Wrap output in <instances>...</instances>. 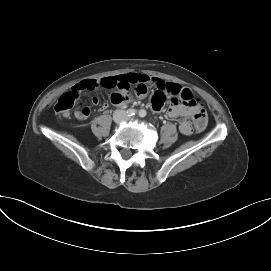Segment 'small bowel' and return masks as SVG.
Listing matches in <instances>:
<instances>
[{
  "label": "small bowel",
  "mask_w": 271,
  "mask_h": 271,
  "mask_svg": "<svg viewBox=\"0 0 271 271\" xmlns=\"http://www.w3.org/2000/svg\"><path fill=\"white\" fill-rule=\"evenodd\" d=\"M97 86H103L112 90L110 99L116 105H126L131 101V96L128 90L131 86H135L133 95L135 97L144 98L150 87L156 88V93L153 95L150 107L159 112L163 109V105L167 102V95L179 96L171 100L170 106L167 110V115L171 118H183L179 125V130L184 135H190L193 132V125L190 120L194 116L199 107L196 104L182 100L184 94L192 97V93L187 88H182L177 83L166 82L162 79L151 77L142 73H124L112 77H106L99 80H85L76 84L73 89L83 91L85 89H94ZM93 105L99 103L98 98L92 99ZM107 104L103 105L106 108ZM89 113L88 108H83L76 113L77 117L84 119Z\"/></svg>",
  "instance_id": "small-bowel-1"
}]
</instances>
